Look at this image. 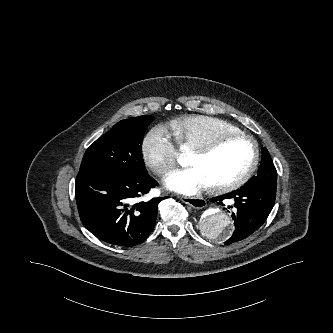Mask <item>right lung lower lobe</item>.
Returning <instances> with one entry per match:
<instances>
[{
	"label": "right lung lower lobe",
	"mask_w": 333,
	"mask_h": 333,
	"mask_svg": "<svg viewBox=\"0 0 333 333\" xmlns=\"http://www.w3.org/2000/svg\"><path fill=\"white\" fill-rule=\"evenodd\" d=\"M148 173L132 176L115 172L79 173L75 197L83 225L112 245L135 246L153 230L160 197L135 203L157 186Z\"/></svg>",
	"instance_id": "obj_1"
}]
</instances>
